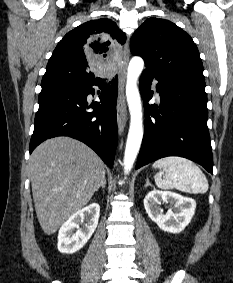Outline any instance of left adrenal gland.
Returning a JSON list of instances; mask_svg holds the SVG:
<instances>
[{
	"label": "left adrenal gland",
	"instance_id": "obj_1",
	"mask_svg": "<svg viewBox=\"0 0 233 283\" xmlns=\"http://www.w3.org/2000/svg\"><path fill=\"white\" fill-rule=\"evenodd\" d=\"M147 186H152L151 183L149 182V179H148V178H147V180H146V184H145L144 187L146 188Z\"/></svg>",
	"mask_w": 233,
	"mask_h": 283
}]
</instances>
